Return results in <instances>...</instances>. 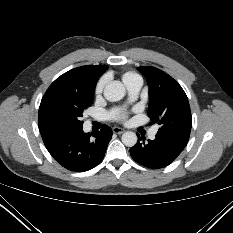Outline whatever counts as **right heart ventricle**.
<instances>
[{"label":"right heart ventricle","mask_w":233,"mask_h":233,"mask_svg":"<svg viewBox=\"0 0 233 233\" xmlns=\"http://www.w3.org/2000/svg\"><path fill=\"white\" fill-rule=\"evenodd\" d=\"M136 78H139V76L132 71H127L122 75V79L125 85H127L129 82L133 81Z\"/></svg>","instance_id":"1"}]
</instances>
